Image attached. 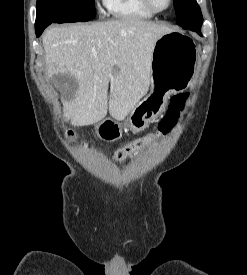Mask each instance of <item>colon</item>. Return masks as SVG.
Segmentation results:
<instances>
[{
	"label": "colon",
	"mask_w": 247,
	"mask_h": 275,
	"mask_svg": "<svg viewBox=\"0 0 247 275\" xmlns=\"http://www.w3.org/2000/svg\"><path fill=\"white\" fill-rule=\"evenodd\" d=\"M186 99L187 95L185 94L173 96L164 117L161 119L158 125L157 132L124 144L115 152V159L122 160L139 148L147 146L156 139L170 134L178 123L180 114L184 109Z\"/></svg>",
	"instance_id": "5ec220e1"
}]
</instances>
